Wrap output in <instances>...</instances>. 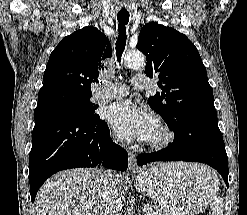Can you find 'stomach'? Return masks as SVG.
<instances>
[{"mask_svg": "<svg viewBox=\"0 0 247 215\" xmlns=\"http://www.w3.org/2000/svg\"><path fill=\"white\" fill-rule=\"evenodd\" d=\"M217 184L215 173L204 165L159 163L138 176L136 187L168 215H197L216 194Z\"/></svg>", "mask_w": 247, "mask_h": 215, "instance_id": "stomach-1", "label": "stomach"}]
</instances>
